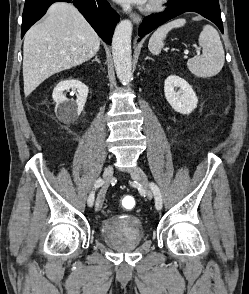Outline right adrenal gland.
Here are the masks:
<instances>
[{
	"mask_svg": "<svg viewBox=\"0 0 249 294\" xmlns=\"http://www.w3.org/2000/svg\"><path fill=\"white\" fill-rule=\"evenodd\" d=\"M97 61L98 63H100L98 56L95 57V59L92 60V62Z\"/></svg>",
	"mask_w": 249,
	"mask_h": 294,
	"instance_id": "right-adrenal-gland-1",
	"label": "right adrenal gland"
}]
</instances>
